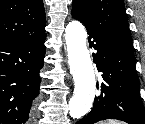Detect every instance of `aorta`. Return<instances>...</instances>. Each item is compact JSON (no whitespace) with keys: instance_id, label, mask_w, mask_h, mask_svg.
I'll use <instances>...</instances> for the list:
<instances>
[{"instance_id":"obj_1","label":"aorta","mask_w":145,"mask_h":124,"mask_svg":"<svg viewBox=\"0 0 145 124\" xmlns=\"http://www.w3.org/2000/svg\"><path fill=\"white\" fill-rule=\"evenodd\" d=\"M87 32L79 21L69 22L65 28L68 63L74 80V92L69 101V114L82 118L93 104L96 90L94 68L86 47Z\"/></svg>"}]
</instances>
